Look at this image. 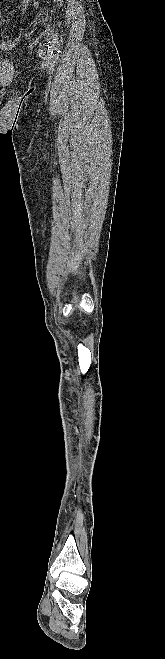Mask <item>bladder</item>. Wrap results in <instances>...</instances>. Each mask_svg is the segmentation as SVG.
<instances>
[{
	"label": "bladder",
	"instance_id": "obj_1",
	"mask_svg": "<svg viewBox=\"0 0 165 659\" xmlns=\"http://www.w3.org/2000/svg\"><path fill=\"white\" fill-rule=\"evenodd\" d=\"M5 20L0 16V27L4 25Z\"/></svg>",
	"mask_w": 165,
	"mask_h": 659
}]
</instances>
